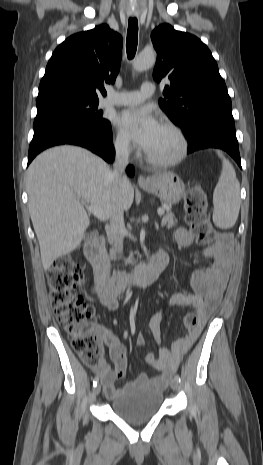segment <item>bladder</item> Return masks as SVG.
Returning <instances> with one entry per match:
<instances>
[{"mask_svg": "<svg viewBox=\"0 0 263 465\" xmlns=\"http://www.w3.org/2000/svg\"><path fill=\"white\" fill-rule=\"evenodd\" d=\"M163 403L161 391L150 387H136L115 398L110 408L125 422L139 426L155 416Z\"/></svg>", "mask_w": 263, "mask_h": 465, "instance_id": "bladder-1", "label": "bladder"}]
</instances>
